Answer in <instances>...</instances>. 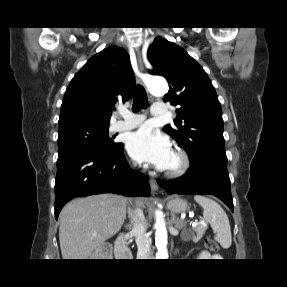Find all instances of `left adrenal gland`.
Returning <instances> with one entry per match:
<instances>
[{
  "instance_id": "obj_1",
  "label": "left adrenal gland",
  "mask_w": 287,
  "mask_h": 287,
  "mask_svg": "<svg viewBox=\"0 0 287 287\" xmlns=\"http://www.w3.org/2000/svg\"><path fill=\"white\" fill-rule=\"evenodd\" d=\"M171 223L175 225L176 228H182L183 227V221L180 219H176L175 214H171Z\"/></svg>"
}]
</instances>
